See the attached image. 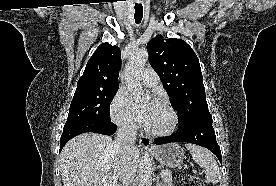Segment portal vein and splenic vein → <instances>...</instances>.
<instances>
[{"mask_svg": "<svg viewBox=\"0 0 276 186\" xmlns=\"http://www.w3.org/2000/svg\"><path fill=\"white\" fill-rule=\"evenodd\" d=\"M160 175H161V177H165V176L168 175V172L165 171V170H162V171L160 172Z\"/></svg>", "mask_w": 276, "mask_h": 186, "instance_id": "portal-vein-and-splenic-vein-1", "label": "portal vein and splenic vein"}]
</instances>
